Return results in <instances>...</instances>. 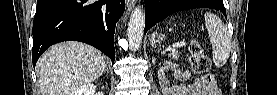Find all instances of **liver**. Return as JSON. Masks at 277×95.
<instances>
[{
  "label": "liver",
  "mask_w": 277,
  "mask_h": 95,
  "mask_svg": "<svg viewBox=\"0 0 277 95\" xmlns=\"http://www.w3.org/2000/svg\"><path fill=\"white\" fill-rule=\"evenodd\" d=\"M105 68L101 52L92 46L75 41L55 44L36 64L41 95H72L99 78Z\"/></svg>",
  "instance_id": "liver-1"
}]
</instances>
